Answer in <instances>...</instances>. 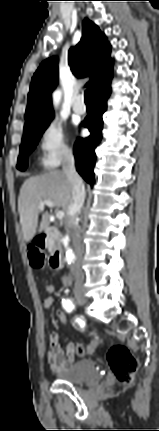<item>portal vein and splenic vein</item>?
Instances as JSON below:
<instances>
[{"label":"portal vein and splenic vein","instance_id":"1","mask_svg":"<svg viewBox=\"0 0 159 431\" xmlns=\"http://www.w3.org/2000/svg\"><path fill=\"white\" fill-rule=\"evenodd\" d=\"M45 206H48L49 208H53L54 207V203L51 200H44V201H42L39 204L38 209L40 211H43ZM64 216H65V214H64V212L62 210L56 211V217L59 220L63 219Z\"/></svg>","mask_w":159,"mask_h":431}]
</instances>
